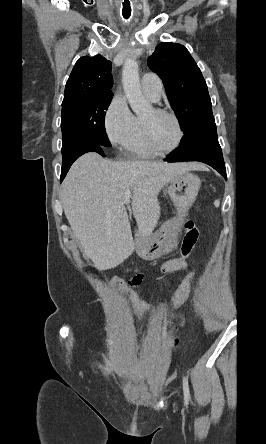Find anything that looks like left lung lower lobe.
<instances>
[{"mask_svg":"<svg viewBox=\"0 0 266 444\" xmlns=\"http://www.w3.org/2000/svg\"><path fill=\"white\" fill-rule=\"evenodd\" d=\"M164 161H200L213 167L227 180L214 117L200 121L186 132L180 146Z\"/></svg>","mask_w":266,"mask_h":444,"instance_id":"0a47b994","label":"left lung lower lobe"}]
</instances>
